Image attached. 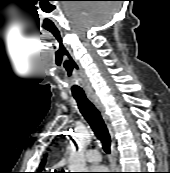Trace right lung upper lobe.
I'll return each mask as SVG.
<instances>
[{
	"instance_id": "1",
	"label": "right lung upper lobe",
	"mask_w": 170,
	"mask_h": 173,
	"mask_svg": "<svg viewBox=\"0 0 170 173\" xmlns=\"http://www.w3.org/2000/svg\"><path fill=\"white\" fill-rule=\"evenodd\" d=\"M45 161H46V160L44 159V160L41 162L40 167H39L40 170L44 167Z\"/></svg>"
}]
</instances>
